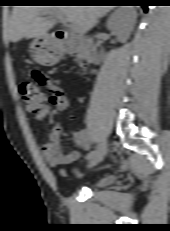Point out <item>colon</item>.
<instances>
[{
  "label": "colon",
  "mask_w": 170,
  "mask_h": 231,
  "mask_svg": "<svg viewBox=\"0 0 170 231\" xmlns=\"http://www.w3.org/2000/svg\"><path fill=\"white\" fill-rule=\"evenodd\" d=\"M19 93L29 112L37 113L41 109L44 103V97L41 90L32 81H21L19 84ZM75 172L79 176L81 175L78 171Z\"/></svg>",
  "instance_id": "1"
}]
</instances>
